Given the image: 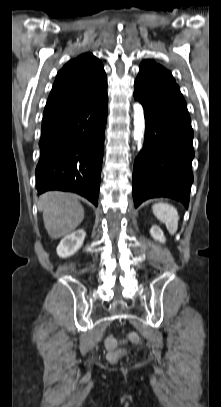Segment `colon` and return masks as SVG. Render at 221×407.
<instances>
[{
  "label": "colon",
  "instance_id": "colon-1",
  "mask_svg": "<svg viewBox=\"0 0 221 407\" xmlns=\"http://www.w3.org/2000/svg\"><path fill=\"white\" fill-rule=\"evenodd\" d=\"M128 338H129V341L131 342V343H133V344H139L140 343V337L136 334V333H134V332H131V333H129L128 334ZM117 346H118V340H117V338H114V337H108L106 340H105V347L108 349V351H109V354H108V359L111 361V362H116V361H118L120 358H122L123 356H125V354H126V351H124V350H118L117 349Z\"/></svg>",
  "mask_w": 221,
  "mask_h": 407
}]
</instances>
